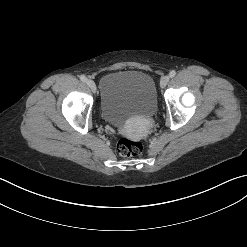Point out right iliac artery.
<instances>
[{"mask_svg": "<svg viewBox=\"0 0 247 247\" xmlns=\"http://www.w3.org/2000/svg\"><path fill=\"white\" fill-rule=\"evenodd\" d=\"M80 80L83 81V82H86L87 81V78L84 75H81L80 76Z\"/></svg>", "mask_w": 247, "mask_h": 247, "instance_id": "1", "label": "right iliac artery"}]
</instances>
